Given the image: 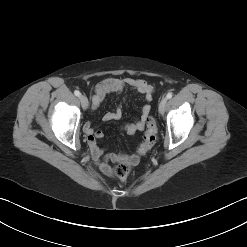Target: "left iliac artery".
Wrapping results in <instances>:
<instances>
[{"label":"left iliac artery","mask_w":247,"mask_h":247,"mask_svg":"<svg viewBox=\"0 0 247 247\" xmlns=\"http://www.w3.org/2000/svg\"><path fill=\"white\" fill-rule=\"evenodd\" d=\"M166 98H167V99H171V98H172V93H168V94L166 95Z\"/></svg>","instance_id":"left-iliac-artery-1"}]
</instances>
